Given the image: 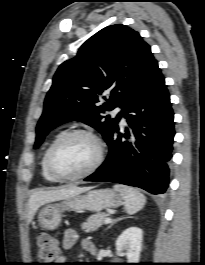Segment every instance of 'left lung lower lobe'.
<instances>
[{"label":"left lung lower lobe","instance_id":"obj_1","mask_svg":"<svg viewBox=\"0 0 205 265\" xmlns=\"http://www.w3.org/2000/svg\"><path fill=\"white\" fill-rule=\"evenodd\" d=\"M173 111L164 77L156 63L119 113L132 129L118 126L108 141L109 155L85 181L115 182L164 194L175 135ZM123 138L127 140H123Z\"/></svg>","mask_w":205,"mask_h":265}]
</instances>
